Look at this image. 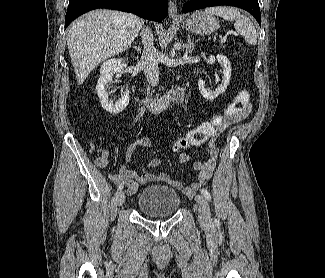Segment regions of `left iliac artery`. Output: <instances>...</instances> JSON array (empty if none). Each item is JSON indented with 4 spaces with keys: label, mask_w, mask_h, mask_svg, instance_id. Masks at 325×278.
<instances>
[{
    "label": "left iliac artery",
    "mask_w": 325,
    "mask_h": 278,
    "mask_svg": "<svg viewBox=\"0 0 325 278\" xmlns=\"http://www.w3.org/2000/svg\"><path fill=\"white\" fill-rule=\"evenodd\" d=\"M201 193L203 194V196H204L207 200L210 201V199H211V195H210V193H209L206 189H202V190H201Z\"/></svg>",
    "instance_id": "1"
}]
</instances>
